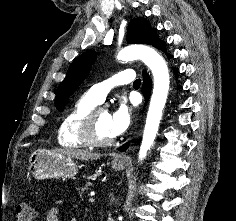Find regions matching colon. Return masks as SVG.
Returning <instances> with one entry per match:
<instances>
[{
  "label": "colon",
  "instance_id": "colon-1",
  "mask_svg": "<svg viewBox=\"0 0 236 221\" xmlns=\"http://www.w3.org/2000/svg\"><path fill=\"white\" fill-rule=\"evenodd\" d=\"M36 211L30 204H20L15 211V221H34Z\"/></svg>",
  "mask_w": 236,
  "mask_h": 221
}]
</instances>
